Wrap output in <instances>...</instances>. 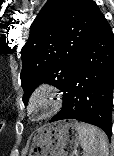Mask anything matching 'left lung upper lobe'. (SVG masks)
<instances>
[{"label":"left lung upper lobe","instance_id":"obj_1","mask_svg":"<svg viewBox=\"0 0 114 156\" xmlns=\"http://www.w3.org/2000/svg\"><path fill=\"white\" fill-rule=\"evenodd\" d=\"M100 12L92 0H48L30 27L21 51L23 101L49 83L64 93L78 56Z\"/></svg>","mask_w":114,"mask_h":156}]
</instances>
